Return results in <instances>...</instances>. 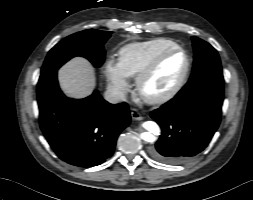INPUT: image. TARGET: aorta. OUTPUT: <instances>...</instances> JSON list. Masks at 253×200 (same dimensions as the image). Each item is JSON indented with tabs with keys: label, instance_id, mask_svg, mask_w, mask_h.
Returning <instances> with one entry per match:
<instances>
[{
	"label": "aorta",
	"instance_id": "aorta-1",
	"mask_svg": "<svg viewBox=\"0 0 253 200\" xmlns=\"http://www.w3.org/2000/svg\"><path fill=\"white\" fill-rule=\"evenodd\" d=\"M143 127L147 130V132H142L141 138L147 142H153L155 139L154 135L159 134V126L153 121H146L143 123Z\"/></svg>",
	"mask_w": 253,
	"mask_h": 200
}]
</instances>
